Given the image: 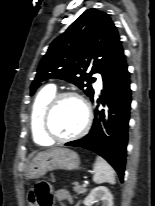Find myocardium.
Instances as JSON below:
<instances>
[{
	"label": "myocardium",
	"instance_id": "myocardium-1",
	"mask_svg": "<svg viewBox=\"0 0 155 206\" xmlns=\"http://www.w3.org/2000/svg\"><path fill=\"white\" fill-rule=\"evenodd\" d=\"M68 97L75 98L82 104L84 113H85V120H84V123L81 129L77 131L76 133L66 136V137H59L51 131L49 121H50L51 114L55 106L57 105V103L61 101L62 99L68 98ZM92 118L93 117H92L91 107L88 101L81 94L74 92V91H63V92L56 93L46 105L43 111V114H42V130H43V133L46 135V137L50 139L51 141L67 142V141L80 138L83 135H85L90 129V126L92 124Z\"/></svg>",
	"mask_w": 155,
	"mask_h": 206
}]
</instances>
